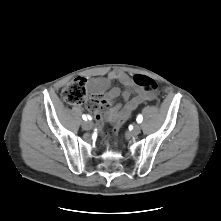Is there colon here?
<instances>
[{
    "label": "colon",
    "mask_w": 221,
    "mask_h": 221,
    "mask_svg": "<svg viewBox=\"0 0 221 221\" xmlns=\"http://www.w3.org/2000/svg\"><path fill=\"white\" fill-rule=\"evenodd\" d=\"M134 82L139 87L145 88L149 91H154L157 88L156 82L144 75H137L134 77ZM62 98L65 102L72 105H80L87 102L86 79L76 78L71 81L62 91ZM90 107L91 103L87 102ZM121 129V124L117 123L114 126L113 132L117 134Z\"/></svg>",
    "instance_id": "colon-1"
}]
</instances>
